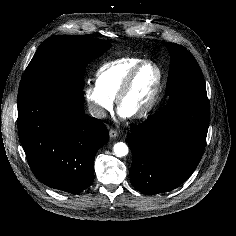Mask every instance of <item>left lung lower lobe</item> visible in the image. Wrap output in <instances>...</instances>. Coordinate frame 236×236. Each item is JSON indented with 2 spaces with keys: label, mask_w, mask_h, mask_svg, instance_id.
I'll return each mask as SVG.
<instances>
[{
  "label": "left lung lower lobe",
  "mask_w": 236,
  "mask_h": 236,
  "mask_svg": "<svg viewBox=\"0 0 236 236\" xmlns=\"http://www.w3.org/2000/svg\"><path fill=\"white\" fill-rule=\"evenodd\" d=\"M210 107L207 94L172 99L148 120L131 129V183L148 195L185 182L205 148Z\"/></svg>",
  "instance_id": "1"
}]
</instances>
